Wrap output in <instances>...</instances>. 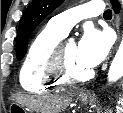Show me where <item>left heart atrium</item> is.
Masks as SVG:
<instances>
[{
	"instance_id": "obj_1",
	"label": "left heart atrium",
	"mask_w": 123,
	"mask_h": 113,
	"mask_svg": "<svg viewBox=\"0 0 123 113\" xmlns=\"http://www.w3.org/2000/svg\"><path fill=\"white\" fill-rule=\"evenodd\" d=\"M110 45L111 41L106 33L88 28L77 45V59L80 64L92 69L106 58Z\"/></svg>"
}]
</instances>
